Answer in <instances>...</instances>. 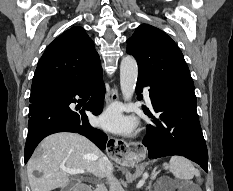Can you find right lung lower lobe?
Returning a JSON list of instances; mask_svg holds the SVG:
<instances>
[{
    "label": "right lung lower lobe",
    "mask_w": 233,
    "mask_h": 191,
    "mask_svg": "<svg viewBox=\"0 0 233 191\" xmlns=\"http://www.w3.org/2000/svg\"><path fill=\"white\" fill-rule=\"evenodd\" d=\"M87 94H92V97L84 109L95 115L100 114L105 96L102 70L76 85H41L32 88L25 163L44 137L57 132H77L90 139L100 149H105L106 134L89 124L84 111L77 112L69 108L70 103L76 102L75 96L84 97Z\"/></svg>",
    "instance_id": "obj_1"
}]
</instances>
